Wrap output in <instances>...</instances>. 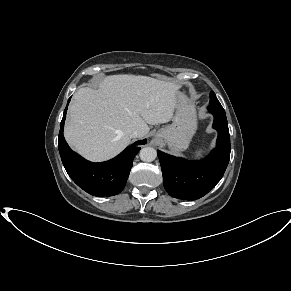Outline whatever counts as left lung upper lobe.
<instances>
[{
	"instance_id": "left-lung-upper-lobe-1",
	"label": "left lung upper lobe",
	"mask_w": 291,
	"mask_h": 291,
	"mask_svg": "<svg viewBox=\"0 0 291 291\" xmlns=\"http://www.w3.org/2000/svg\"><path fill=\"white\" fill-rule=\"evenodd\" d=\"M209 105H221L220 102L218 101L215 93L212 92V91L210 93V103H209Z\"/></svg>"
}]
</instances>
